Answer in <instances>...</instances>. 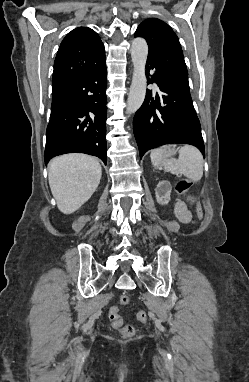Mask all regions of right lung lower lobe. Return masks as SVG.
<instances>
[{
    "mask_svg": "<svg viewBox=\"0 0 249 382\" xmlns=\"http://www.w3.org/2000/svg\"><path fill=\"white\" fill-rule=\"evenodd\" d=\"M107 71L105 55L84 76L52 98L44 160L86 153L107 163Z\"/></svg>",
    "mask_w": 249,
    "mask_h": 382,
    "instance_id": "1",
    "label": "right lung lower lobe"
}]
</instances>
